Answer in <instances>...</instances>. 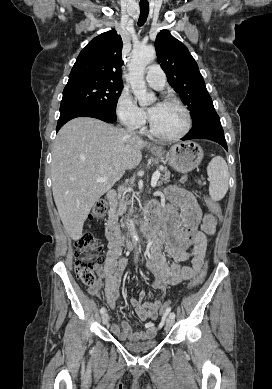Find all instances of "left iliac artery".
Returning a JSON list of instances; mask_svg holds the SVG:
<instances>
[{"label": "left iliac artery", "mask_w": 272, "mask_h": 389, "mask_svg": "<svg viewBox=\"0 0 272 389\" xmlns=\"http://www.w3.org/2000/svg\"><path fill=\"white\" fill-rule=\"evenodd\" d=\"M169 317L174 319V318H175V313H174V312H171V313L169 314Z\"/></svg>", "instance_id": "44dca946"}]
</instances>
